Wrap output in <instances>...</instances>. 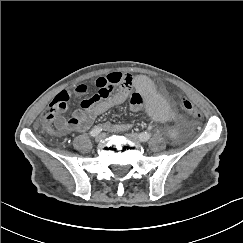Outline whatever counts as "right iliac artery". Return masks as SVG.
<instances>
[{"instance_id": "82829eb1", "label": "right iliac artery", "mask_w": 243, "mask_h": 243, "mask_svg": "<svg viewBox=\"0 0 243 243\" xmlns=\"http://www.w3.org/2000/svg\"><path fill=\"white\" fill-rule=\"evenodd\" d=\"M102 131V127L101 126H95L91 131H90V135L95 137L97 136L100 132Z\"/></svg>"}]
</instances>
